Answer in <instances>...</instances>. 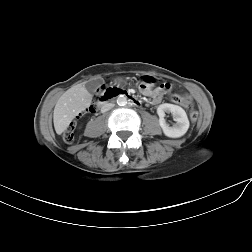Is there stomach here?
<instances>
[{
  "label": "stomach",
  "mask_w": 252,
  "mask_h": 252,
  "mask_svg": "<svg viewBox=\"0 0 252 252\" xmlns=\"http://www.w3.org/2000/svg\"><path fill=\"white\" fill-rule=\"evenodd\" d=\"M143 80L150 82V81H152V78L150 76H144Z\"/></svg>",
  "instance_id": "1"
}]
</instances>
